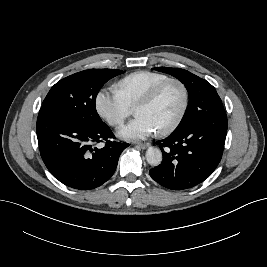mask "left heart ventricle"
Masks as SVG:
<instances>
[{
  "instance_id": "b2bd125f",
  "label": "left heart ventricle",
  "mask_w": 267,
  "mask_h": 267,
  "mask_svg": "<svg viewBox=\"0 0 267 267\" xmlns=\"http://www.w3.org/2000/svg\"><path fill=\"white\" fill-rule=\"evenodd\" d=\"M182 102L183 96L180 87L171 83L161 91L152 104L138 107L136 115L148 117L158 131L169 126L177 118Z\"/></svg>"
}]
</instances>
